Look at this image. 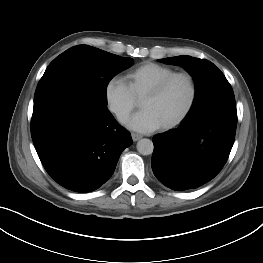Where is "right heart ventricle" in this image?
Listing matches in <instances>:
<instances>
[{"instance_id":"obj_1","label":"right heart ventricle","mask_w":263,"mask_h":263,"mask_svg":"<svg viewBox=\"0 0 263 263\" xmlns=\"http://www.w3.org/2000/svg\"><path fill=\"white\" fill-rule=\"evenodd\" d=\"M174 72L168 66L146 62L126 72L123 81L135 99H141L158 81Z\"/></svg>"}]
</instances>
